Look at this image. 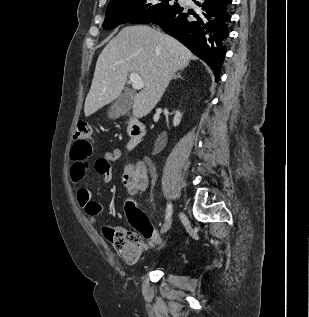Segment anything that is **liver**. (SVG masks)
<instances>
[{"label":"liver","instance_id":"obj_1","mask_svg":"<svg viewBox=\"0 0 309 317\" xmlns=\"http://www.w3.org/2000/svg\"><path fill=\"white\" fill-rule=\"evenodd\" d=\"M193 59L191 51L169 35L144 25L124 27L98 57L85 100V116L117 99L128 73L139 74L144 83L134 98L133 115L146 116L160 101L175 72Z\"/></svg>","mask_w":309,"mask_h":317}]
</instances>
